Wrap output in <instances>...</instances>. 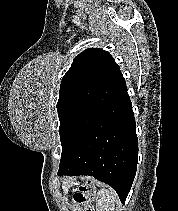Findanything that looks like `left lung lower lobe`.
Returning a JSON list of instances; mask_svg holds the SVG:
<instances>
[{
	"instance_id": "1",
	"label": "left lung lower lobe",
	"mask_w": 178,
	"mask_h": 211,
	"mask_svg": "<svg viewBox=\"0 0 178 211\" xmlns=\"http://www.w3.org/2000/svg\"><path fill=\"white\" fill-rule=\"evenodd\" d=\"M137 156L136 123L123 78L95 125L60 164L58 175L93 176L114 188L124 203L135 177Z\"/></svg>"
}]
</instances>
